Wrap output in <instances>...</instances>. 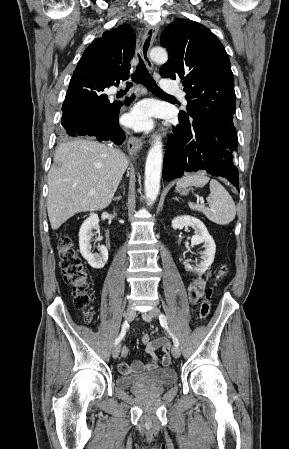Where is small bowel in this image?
I'll return each instance as SVG.
<instances>
[{
  "mask_svg": "<svg viewBox=\"0 0 289 449\" xmlns=\"http://www.w3.org/2000/svg\"><path fill=\"white\" fill-rule=\"evenodd\" d=\"M211 276V272H206L193 279L188 287L189 300L192 304H196L204 295L207 282ZM170 338L159 337L154 340L149 339L147 342H143L146 345V352L151 356V360L147 363H142L140 361H135L132 364L121 362L118 366V370L123 375H129L132 373H140L143 371H152L158 367L159 357L156 354V350L160 349L164 352L161 355L160 366L163 369L169 367L171 363V358L169 353L171 349L169 345L171 344ZM129 354V348L127 346L122 347V355L126 356Z\"/></svg>",
  "mask_w": 289,
  "mask_h": 449,
  "instance_id": "1",
  "label": "small bowel"
}]
</instances>
